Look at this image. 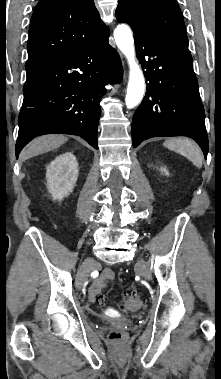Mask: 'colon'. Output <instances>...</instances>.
<instances>
[{"mask_svg":"<svg viewBox=\"0 0 221 379\" xmlns=\"http://www.w3.org/2000/svg\"><path fill=\"white\" fill-rule=\"evenodd\" d=\"M106 301L105 295L101 294L98 296L97 302L99 304H104ZM143 297L137 293L125 294L122 302L121 309L124 312L136 311L143 304ZM109 339L116 342H122L127 339V334L124 331L113 330L109 333Z\"/></svg>","mask_w":221,"mask_h":379,"instance_id":"1","label":"colon"}]
</instances>
